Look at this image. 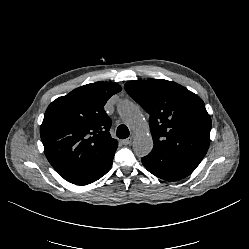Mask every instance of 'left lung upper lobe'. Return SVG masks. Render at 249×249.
Listing matches in <instances>:
<instances>
[{
    "label": "left lung upper lobe",
    "mask_w": 249,
    "mask_h": 249,
    "mask_svg": "<svg viewBox=\"0 0 249 249\" xmlns=\"http://www.w3.org/2000/svg\"><path fill=\"white\" fill-rule=\"evenodd\" d=\"M125 90L150 115L152 151L201 162L210 143L211 118L199 96L162 79L130 81Z\"/></svg>",
    "instance_id": "obj_1"
}]
</instances>
